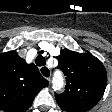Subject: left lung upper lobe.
Segmentation results:
<instances>
[{
    "mask_svg": "<svg viewBox=\"0 0 112 112\" xmlns=\"http://www.w3.org/2000/svg\"><path fill=\"white\" fill-rule=\"evenodd\" d=\"M57 59L58 68L66 76L65 91L55 95L59 107L65 112H87L103 96L107 83L105 67L90 53L68 49L61 50Z\"/></svg>",
    "mask_w": 112,
    "mask_h": 112,
    "instance_id": "left-lung-upper-lobe-1",
    "label": "left lung upper lobe"
}]
</instances>
